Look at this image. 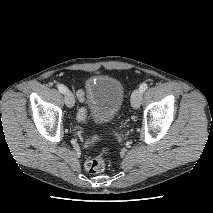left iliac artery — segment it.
I'll return each instance as SVG.
<instances>
[{
	"mask_svg": "<svg viewBox=\"0 0 213 213\" xmlns=\"http://www.w3.org/2000/svg\"><path fill=\"white\" fill-rule=\"evenodd\" d=\"M148 88L147 83H142L139 87V90L143 93Z\"/></svg>",
	"mask_w": 213,
	"mask_h": 213,
	"instance_id": "1",
	"label": "left iliac artery"
}]
</instances>
